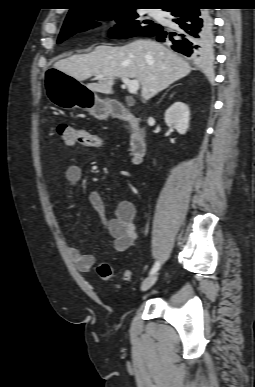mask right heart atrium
I'll use <instances>...</instances> for the list:
<instances>
[{"label":"right heart atrium","mask_w":255,"mask_h":387,"mask_svg":"<svg viewBox=\"0 0 255 387\" xmlns=\"http://www.w3.org/2000/svg\"><path fill=\"white\" fill-rule=\"evenodd\" d=\"M121 26L120 21L117 18H112L108 21L106 28L108 30L114 31L117 30Z\"/></svg>","instance_id":"right-heart-atrium-1"}]
</instances>
